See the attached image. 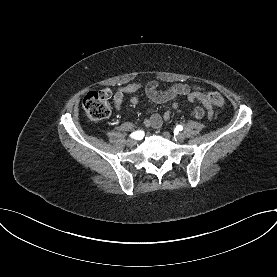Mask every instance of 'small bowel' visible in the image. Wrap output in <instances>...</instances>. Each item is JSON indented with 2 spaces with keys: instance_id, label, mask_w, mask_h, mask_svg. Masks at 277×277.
I'll use <instances>...</instances> for the list:
<instances>
[{
  "instance_id": "small-bowel-1",
  "label": "small bowel",
  "mask_w": 277,
  "mask_h": 277,
  "mask_svg": "<svg viewBox=\"0 0 277 277\" xmlns=\"http://www.w3.org/2000/svg\"><path fill=\"white\" fill-rule=\"evenodd\" d=\"M144 90L150 100L155 103H166L175 100L179 96H186L191 103H196L198 106L194 107L190 115L195 119H201L205 110H207L209 118L212 116V102L208 98L206 89L200 86H189L187 84H174L163 90H158V84L155 81L147 83L133 82L115 90L113 93V105L116 110H120L124 101V98L128 94L135 93L137 91ZM110 92V91H109ZM131 103L134 106L139 104L138 97L131 98ZM172 107L177 108V104L174 102ZM171 118V112H166L163 116L160 114H152L149 118L145 119L144 124L146 126L158 129L162 126L163 120H169ZM125 128H129V124L124 125Z\"/></svg>"
}]
</instances>
